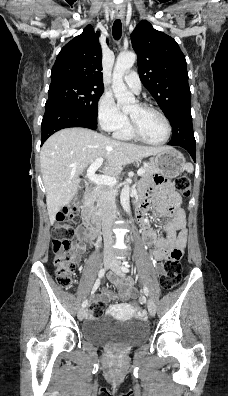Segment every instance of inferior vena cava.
Masks as SVG:
<instances>
[{
	"instance_id": "inferior-vena-cava-1",
	"label": "inferior vena cava",
	"mask_w": 228,
	"mask_h": 396,
	"mask_svg": "<svg viewBox=\"0 0 228 396\" xmlns=\"http://www.w3.org/2000/svg\"><path fill=\"white\" fill-rule=\"evenodd\" d=\"M116 218L115 195L111 194L103 200V237H104V254H112V245L114 236L111 229V223Z\"/></svg>"
}]
</instances>
